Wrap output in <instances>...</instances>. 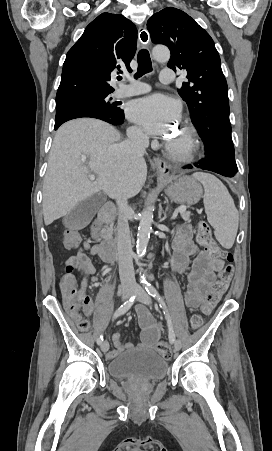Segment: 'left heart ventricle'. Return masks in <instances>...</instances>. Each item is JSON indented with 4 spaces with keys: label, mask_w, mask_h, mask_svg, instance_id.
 Returning a JSON list of instances; mask_svg holds the SVG:
<instances>
[{
    "label": "left heart ventricle",
    "mask_w": 272,
    "mask_h": 451,
    "mask_svg": "<svg viewBox=\"0 0 272 451\" xmlns=\"http://www.w3.org/2000/svg\"><path fill=\"white\" fill-rule=\"evenodd\" d=\"M180 138L185 140V135H184L183 131L180 132Z\"/></svg>",
    "instance_id": "obj_1"
}]
</instances>
